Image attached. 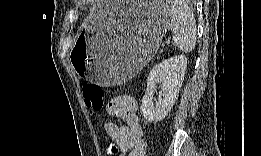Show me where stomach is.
Masks as SVG:
<instances>
[{
    "instance_id": "1",
    "label": "stomach",
    "mask_w": 261,
    "mask_h": 156,
    "mask_svg": "<svg viewBox=\"0 0 261 156\" xmlns=\"http://www.w3.org/2000/svg\"><path fill=\"white\" fill-rule=\"evenodd\" d=\"M170 15L167 2H103L80 31L72 63L101 86L126 82L154 57Z\"/></svg>"
}]
</instances>
